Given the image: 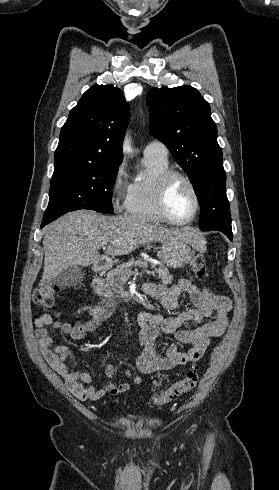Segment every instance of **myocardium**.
<instances>
[{
	"label": "myocardium",
	"mask_w": 279,
	"mask_h": 490,
	"mask_svg": "<svg viewBox=\"0 0 279 490\" xmlns=\"http://www.w3.org/2000/svg\"><path fill=\"white\" fill-rule=\"evenodd\" d=\"M185 181L191 188L194 196V210L192 215L186 220L175 219L169 210L168 200L173 185L178 181ZM157 207L161 216L168 222L176 225H185L191 223L198 215L200 209V196L195 182L186 173L178 170H169L165 172L160 180L157 193Z\"/></svg>",
	"instance_id": "f54148a6"
}]
</instances>
